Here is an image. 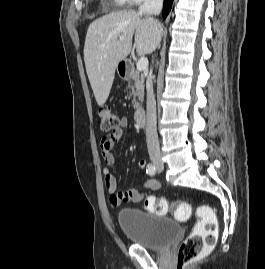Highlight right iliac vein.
Returning <instances> with one entry per match:
<instances>
[{
	"instance_id": "obj_1",
	"label": "right iliac vein",
	"mask_w": 265,
	"mask_h": 269,
	"mask_svg": "<svg viewBox=\"0 0 265 269\" xmlns=\"http://www.w3.org/2000/svg\"><path fill=\"white\" fill-rule=\"evenodd\" d=\"M155 164L158 166V165H160V162L157 161V162H155Z\"/></svg>"
}]
</instances>
